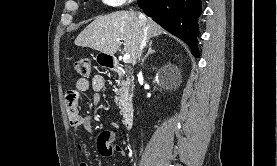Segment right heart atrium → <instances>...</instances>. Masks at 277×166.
<instances>
[{
    "label": "right heart atrium",
    "mask_w": 277,
    "mask_h": 166,
    "mask_svg": "<svg viewBox=\"0 0 277 166\" xmlns=\"http://www.w3.org/2000/svg\"><path fill=\"white\" fill-rule=\"evenodd\" d=\"M130 1L131 0H101L103 4L111 7H120L129 3Z\"/></svg>",
    "instance_id": "1"
}]
</instances>
